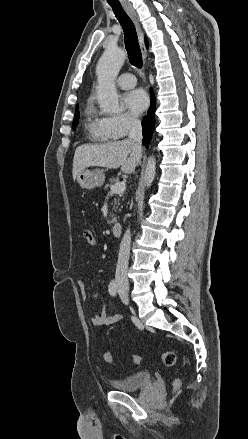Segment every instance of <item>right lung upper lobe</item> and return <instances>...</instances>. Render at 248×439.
I'll return each mask as SVG.
<instances>
[{"label": "right lung upper lobe", "mask_w": 248, "mask_h": 439, "mask_svg": "<svg viewBox=\"0 0 248 439\" xmlns=\"http://www.w3.org/2000/svg\"><path fill=\"white\" fill-rule=\"evenodd\" d=\"M145 43H146V46L148 47V41H147V39L145 38ZM78 110V105H77V107H76V111Z\"/></svg>", "instance_id": "obj_1"}]
</instances>
